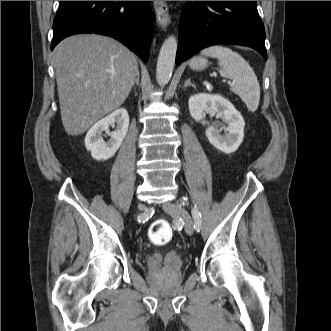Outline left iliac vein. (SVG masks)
<instances>
[{"label":"left iliac vein","instance_id":"1","mask_svg":"<svg viewBox=\"0 0 331 331\" xmlns=\"http://www.w3.org/2000/svg\"><path fill=\"white\" fill-rule=\"evenodd\" d=\"M163 209L166 212L176 215L180 219H182L186 233L188 235L193 234V232H194L193 221H192L190 214L188 213V211L186 209H184L183 207H181L177 204H174L172 202L164 203Z\"/></svg>","mask_w":331,"mask_h":331}]
</instances>
